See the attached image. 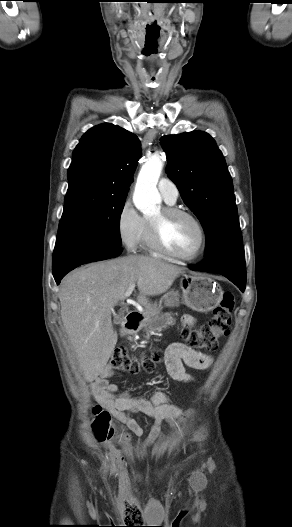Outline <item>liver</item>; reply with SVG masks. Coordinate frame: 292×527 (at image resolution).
<instances>
[{
	"mask_svg": "<svg viewBox=\"0 0 292 527\" xmlns=\"http://www.w3.org/2000/svg\"><path fill=\"white\" fill-rule=\"evenodd\" d=\"M184 268L148 256L129 255L81 267L61 283V318L86 381L104 370L117 343L111 312L132 283L139 304L165 293Z\"/></svg>",
	"mask_w": 292,
	"mask_h": 527,
	"instance_id": "liver-1",
	"label": "liver"
}]
</instances>
